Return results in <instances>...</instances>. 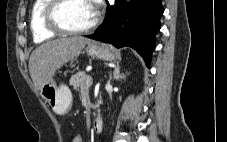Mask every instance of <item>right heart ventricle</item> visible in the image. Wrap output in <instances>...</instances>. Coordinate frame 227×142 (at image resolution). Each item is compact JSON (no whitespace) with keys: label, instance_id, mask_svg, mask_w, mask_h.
<instances>
[{"label":"right heart ventricle","instance_id":"obj_1","mask_svg":"<svg viewBox=\"0 0 227 142\" xmlns=\"http://www.w3.org/2000/svg\"><path fill=\"white\" fill-rule=\"evenodd\" d=\"M50 0H35L30 14V28L34 42L41 43L54 38L57 33L48 29L44 21V11Z\"/></svg>","mask_w":227,"mask_h":142}]
</instances>
